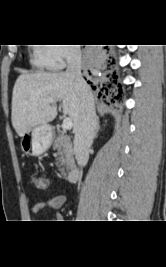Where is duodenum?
I'll return each instance as SVG.
<instances>
[{
    "instance_id": "1",
    "label": "duodenum",
    "mask_w": 166,
    "mask_h": 267,
    "mask_svg": "<svg viewBox=\"0 0 166 267\" xmlns=\"http://www.w3.org/2000/svg\"><path fill=\"white\" fill-rule=\"evenodd\" d=\"M80 174V169L77 166L71 167L67 172V180L69 182H74L77 180L78 176Z\"/></svg>"
}]
</instances>
